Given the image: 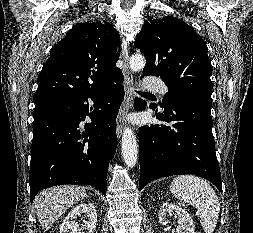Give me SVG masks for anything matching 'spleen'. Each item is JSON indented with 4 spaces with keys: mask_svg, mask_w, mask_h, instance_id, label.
<instances>
[{
    "mask_svg": "<svg viewBox=\"0 0 253 233\" xmlns=\"http://www.w3.org/2000/svg\"><path fill=\"white\" fill-rule=\"evenodd\" d=\"M170 191L178 200L195 206L204 231L213 233L220 204L214 189L205 180L193 175H180L173 179Z\"/></svg>",
    "mask_w": 253,
    "mask_h": 233,
    "instance_id": "spleen-1",
    "label": "spleen"
}]
</instances>
